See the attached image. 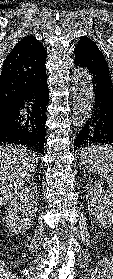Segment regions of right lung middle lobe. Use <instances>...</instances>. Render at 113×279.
I'll use <instances>...</instances> for the list:
<instances>
[{
    "mask_svg": "<svg viewBox=\"0 0 113 279\" xmlns=\"http://www.w3.org/2000/svg\"><path fill=\"white\" fill-rule=\"evenodd\" d=\"M7 110L0 111V119H2L7 114Z\"/></svg>",
    "mask_w": 113,
    "mask_h": 279,
    "instance_id": "right-lung-middle-lobe-1",
    "label": "right lung middle lobe"
}]
</instances>
